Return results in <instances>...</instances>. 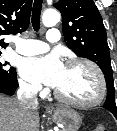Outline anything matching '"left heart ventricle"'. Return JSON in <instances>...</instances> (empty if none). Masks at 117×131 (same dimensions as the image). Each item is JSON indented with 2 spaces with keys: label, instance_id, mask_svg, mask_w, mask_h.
Listing matches in <instances>:
<instances>
[{
  "label": "left heart ventricle",
  "instance_id": "1",
  "mask_svg": "<svg viewBox=\"0 0 117 131\" xmlns=\"http://www.w3.org/2000/svg\"><path fill=\"white\" fill-rule=\"evenodd\" d=\"M56 89L64 96L77 101H91L96 98L99 86L94 73L86 66H66L60 84Z\"/></svg>",
  "mask_w": 117,
  "mask_h": 131
}]
</instances>
